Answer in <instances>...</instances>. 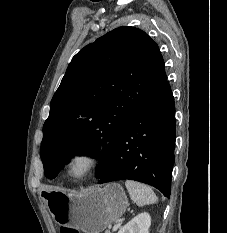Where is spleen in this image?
<instances>
[{"mask_svg": "<svg viewBox=\"0 0 227 233\" xmlns=\"http://www.w3.org/2000/svg\"><path fill=\"white\" fill-rule=\"evenodd\" d=\"M125 186L129 192L130 198L140 207L154 204L158 201L153 190L145 184L133 180H126Z\"/></svg>", "mask_w": 227, "mask_h": 233, "instance_id": "1", "label": "spleen"}]
</instances>
